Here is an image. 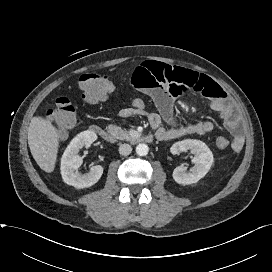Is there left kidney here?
I'll return each mask as SVG.
<instances>
[{
  "label": "left kidney",
  "mask_w": 272,
  "mask_h": 272,
  "mask_svg": "<svg viewBox=\"0 0 272 272\" xmlns=\"http://www.w3.org/2000/svg\"><path fill=\"white\" fill-rule=\"evenodd\" d=\"M187 150H190L194 154L192 159L194 167L191 171L187 172L186 167L178 166L174 169L172 174L175 182L182 185L198 182L208 173L214 161L212 151L200 140L185 139L176 142L170 149L172 154L186 152Z\"/></svg>",
  "instance_id": "1"
}]
</instances>
